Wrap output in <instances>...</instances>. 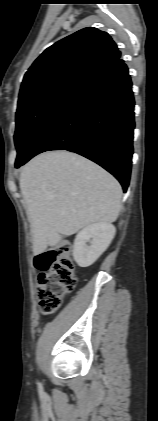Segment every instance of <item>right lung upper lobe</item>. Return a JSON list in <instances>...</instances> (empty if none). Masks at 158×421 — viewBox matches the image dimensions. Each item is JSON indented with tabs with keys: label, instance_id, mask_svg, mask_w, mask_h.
Instances as JSON below:
<instances>
[{
	"label": "right lung upper lobe",
	"instance_id": "1",
	"mask_svg": "<svg viewBox=\"0 0 158 421\" xmlns=\"http://www.w3.org/2000/svg\"><path fill=\"white\" fill-rule=\"evenodd\" d=\"M121 57L108 35L93 27L81 29L47 48L26 72L19 100L36 91L61 84H85Z\"/></svg>",
	"mask_w": 158,
	"mask_h": 421
}]
</instances>
